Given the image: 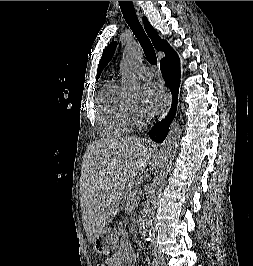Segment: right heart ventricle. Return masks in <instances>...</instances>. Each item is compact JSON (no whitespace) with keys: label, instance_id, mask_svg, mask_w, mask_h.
Segmentation results:
<instances>
[{"label":"right heart ventricle","instance_id":"right-heart-ventricle-1","mask_svg":"<svg viewBox=\"0 0 253 266\" xmlns=\"http://www.w3.org/2000/svg\"><path fill=\"white\" fill-rule=\"evenodd\" d=\"M99 133L104 137H118L129 133L135 126L132 109L122 98L120 87L114 81L102 88L96 108Z\"/></svg>","mask_w":253,"mask_h":266}]
</instances>
